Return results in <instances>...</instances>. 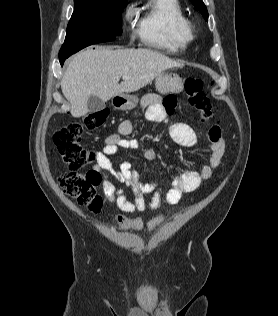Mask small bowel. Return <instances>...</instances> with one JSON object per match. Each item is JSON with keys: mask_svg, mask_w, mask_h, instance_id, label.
I'll return each mask as SVG.
<instances>
[{"mask_svg": "<svg viewBox=\"0 0 278 316\" xmlns=\"http://www.w3.org/2000/svg\"><path fill=\"white\" fill-rule=\"evenodd\" d=\"M141 106L146 107V119L151 122H162L174 111L176 100L173 96L162 99L157 94H146L141 99ZM206 121V120H203ZM133 130V122L129 119L123 120L118 127V132L109 135L105 140L104 147L95 152V164L93 171L102 173L104 176L102 186L106 199L115 204L125 213H139L147 208L145 196H150L149 207L159 209L162 203L161 193L156 183H143L138 178V172L132 165L125 161L119 168H115L110 156L117 154L122 149H139L140 145L136 139L127 138ZM171 138L179 145L192 147L197 143V135L193 128L185 123H173L169 127ZM210 142V155L207 164L199 170L191 168L184 169L180 174L172 176L171 188L165 196V201L170 205L177 204L183 195L195 191L204 182L209 180L216 168L219 167L226 153V144L222 137L219 125L213 124L208 130ZM143 158L154 160L156 151L153 148L143 150ZM115 181L124 183L130 187L132 198L129 199L123 189L116 186ZM164 219L159 213L146 224L148 231L154 230ZM113 221L123 228L140 231L145 226L139 215L131 217L116 214Z\"/></svg>", "mask_w": 278, "mask_h": 316, "instance_id": "small-bowel-1", "label": "small bowel"}]
</instances>
